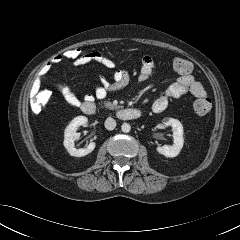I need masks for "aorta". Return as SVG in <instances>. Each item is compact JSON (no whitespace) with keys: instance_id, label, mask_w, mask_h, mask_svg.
<instances>
[{"instance_id":"obj_1","label":"aorta","mask_w":240,"mask_h":240,"mask_svg":"<svg viewBox=\"0 0 240 240\" xmlns=\"http://www.w3.org/2000/svg\"><path fill=\"white\" fill-rule=\"evenodd\" d=\"M121 130H122V132H124V133L130 132V130H131L130 124H128V123H123L122 126H121Z\"/></svg>"}]
</instances>
